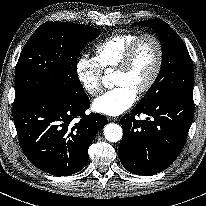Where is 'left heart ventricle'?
<instances>
[{
    "label": "left heart ventricle",
    "instance_id": "left-heart-ventricle-1",
    "mask_svg": "<svg viewBox=\"0 0 206 206\" xmlns=\"http://www.w3.org/2000/svg\"><path fill=\"white\" fill-rule=\"evenodd\" d=\"M157 62V47L151 39H144L127 72H116L115 85L127 86L137 92L149 80Z\"/></svg>",
    "mask_w": 206,
    "mask_h": 206
}]
</instances>
